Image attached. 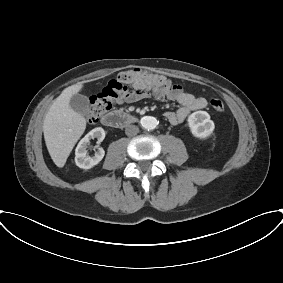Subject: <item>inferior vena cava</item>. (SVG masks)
Wrapping results in <instances>:
<instances>
[{
	"label": "inferior vena cava",
	"instance_id": "602c4592",
	"mask_svg": "<svg viewBox=\"0 0 283 283\" xmlns=\"http://www.w3.org/2000/svg\"><path fill=\"white\" fill-rule=\"evenodd\" d=\"M139 132V128L135 125H128L125 128V134L127 136H135Z\"/></svg>",
	"mask_w": 283,
	"mask_h": 283
}]
</instances>
